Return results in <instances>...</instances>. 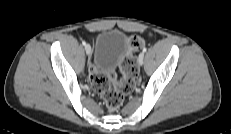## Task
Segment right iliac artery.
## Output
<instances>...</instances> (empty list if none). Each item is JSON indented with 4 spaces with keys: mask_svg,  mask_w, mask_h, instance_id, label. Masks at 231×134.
I'll return each mask as SVG.
<instances>
[{
    "mask_svg": "<svg viewBox=\"0 0 231 134\" xmlns=\"http://www.w3.org/2000/svg\"><path fill=\"white\" fill-rule=\"evenodd\" d=\"M82 44L85 46V45H86V42H85V41H82Z\"/></svg>",
    "mask_w": 231,
    "mask_h": 134,
    "instance_id": "right-iliac-artery-1",
    "label": "right iliac artery"
}]
</instances>
